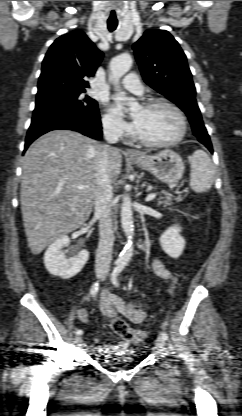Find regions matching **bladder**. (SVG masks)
Returning <instances> with one entry per match:
<instances>
[{"instance_id": "1", "label": "bladder", "mask_w": 242, "mask_h": 416, "mask_svg": "<svg viewBox=\"0 0 242 416\" xmlns=\"http://www.w3.org/2000/svg\"><path fill=\"white\" fill-rule=\"evenodd\" d=\"M130 352H119V353H112L108 354L109 361L112 366H122L127 364L126 360H123V358H127L129 356Z\"/></svg>"}]
</instances>
